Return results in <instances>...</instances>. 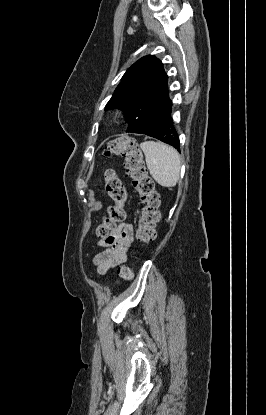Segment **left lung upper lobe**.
<instances>
[{
    "instance_id": "obj_1",
    "label": "left lung upper lobe",
    "mask_w": 266,
    "mask_h": 415,
    "mask_svg": "<svg viewBox=\"0 0 266 415\" xmlns=\"http://www.w3.org/2000/svg\"><path fill=\"white\" fill-rule=\"evenodd\" d=\"M167 80L162 62L155 56H145L127 69L105 110L125 111L126 132L150 131L171 114Z\"/></svg>"
}]
</instances>
